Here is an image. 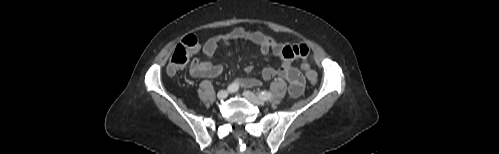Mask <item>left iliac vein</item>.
<instances>
[{"instance_id": "left-iliac-vein-1", "label": "left iliac vein", "mask_w": 499, "mask_h": 154, "mask_svg": "<svg viewBox=\"0 0 499 154\" xmlns=\"http://www.w3.org/2000/svg\"><path fill=\"white\" fill-rule=\"evenodd\" d=\"M243 96L251 101L252 103L256 104V105H264V100H262L261 98H259L257 95H255L253 92L251 91H244L243 92Z\"/></svg>"}]
</instances>
